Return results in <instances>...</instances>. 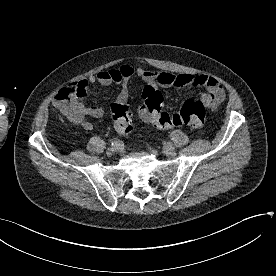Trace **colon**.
<instances>
[{
	"label": "colon",
	"mask_w": 276,
	"mask_h": 276,
	"mask_svg": "<svg viewBox=\"0 0 276 276\" xmlns=\"http://www.w3.org/2000/svg\"><path fill=\"white\" fill-rule=\"evenodd\" d=\"M83 90L76 83L62 88L56 95V102L60 112L67 118L77 115L74 105L75 98L81 96ZM163 95L153 85H147L143 89L140 113L148 121L160 129H170L178 126H189L199 130L204 126L206 106L199 100H187L178 112L167 113L163 109ZM111 115L115 130L120 135H129L132 132V120L129 105L127 103H113Z\"/></svg>",
	"instance_id": "1"
}]
</instances>
